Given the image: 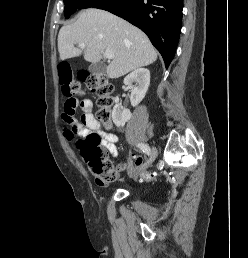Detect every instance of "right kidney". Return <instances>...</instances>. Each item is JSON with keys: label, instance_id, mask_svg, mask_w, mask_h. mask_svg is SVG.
Segmentation results:
<instances>
[{"label": "right kidney", "instance_id": "obj_1", "mask_svg": "<svg viewBox=\"0 0 248 258\" xmlns=\"http://www.w3.org/2000/svg\"><path fill=\"white\" fill-rule=\"evenodd\" d=\"M133 83H136L133 86ZM124 84L131 91L130 102L136 107L145 97L150 85V71L146 68H138L124 78ZM131 112L119 103V98H115V106L112 111V120L117 127H123L131 118Z\"/></svg>", "mask_w": 248, "mask_h": 258}]
</instances>
